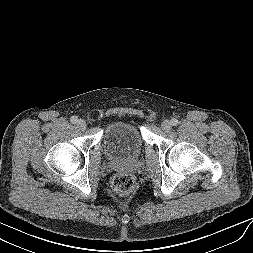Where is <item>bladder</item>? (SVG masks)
I'll return each mask as SVG.
<instances>
[{
    "label": "bladder",
    "mask_w": 253,
    "mask_h": 253,
    "mask_svg": "<svg viewBox=\"0 0 253 253\" xmlns=\"http://www.w3.org/2000/svg\"><path fill=\"white\" fill-rule=\"evenodd\" d=\"M103 149L114 161L136 159L143 149V134L140 127L127 120L110 122L103 134Z\"/></svg>",
    "instance_id": "31cf9c89"
}]
</instances>
